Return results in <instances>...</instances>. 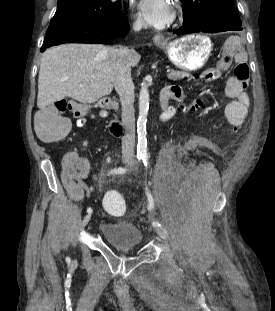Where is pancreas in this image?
Returning a JSON list of instances; mask_svg holds the SVG:
<instances>
[{"mask_svg":"<svg viewBox=\"0 0 275 311\" xmlns=\"http://www.w3.org/2000/svg\"><path fill=\"white\" fill-rule=\"evenodd\" d=\"M187 74L184 72L179 71H171V73L168 75V78L170 80L176 81L183 79Z\"/></svg>","mask_w":275,"mask_h":311,"instance_id":"obj_1","label":"pancreas"}]
</instances>
